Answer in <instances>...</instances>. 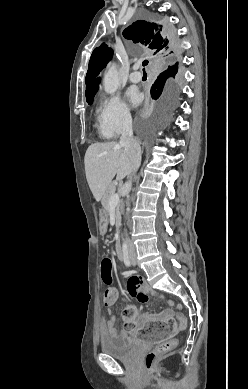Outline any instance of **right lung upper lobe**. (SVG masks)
Wrapping results in <instances>:
<instances>
[{"label":"right lung upper lobe","instance_id":"cb5924a9","mask_svg":"<svg viewBox=\"0 0 248 389\" xmlns=\"http://www.w3.org/2000/svg\"><path fill=\"white\" fill-rule=\"evenodd\" d=\"M123 36L126 39L133 40L134 43H141L149 53L159 60L164 71L160 73L155 83L160 82L173 67L178 65L180 58L179 44H177L176 49L172 47L163 24L138 20L123 31ZM112 54L113 50L107 48L105 43L94 49L85 80L87 84L86 98L92 96L98 90L100 78H97V76L109 62Z\"/></svg>","mask_w":248,"mask_h":389}]
</instances>
